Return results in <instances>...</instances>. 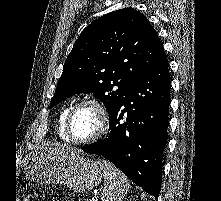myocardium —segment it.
<instances>
[{"mask_svg":"<svg viewBox=\"0 0 221 201\" xmlns=\"http://www.w3.org/2000/svg\"><path fill=\"white\" fill-rule=\"evenodd\" d=\"M83 106H91L97 112L98 117H99V128L97 132L90 138L78 140V139H75L71 133V122H72V118L75 112ZM108 124H109V114L104 104L97 98L87 97L78 101L73 106H71L66 117L65 129H66L67 137L70 142L77 144V145H86V144L93 143L97 141L98 139H100L105 134L108 128Z\"/></svg>","mask_w":221,"mask_h":201,"instance_id":"1","label":"myocardium"}]
</instances>
